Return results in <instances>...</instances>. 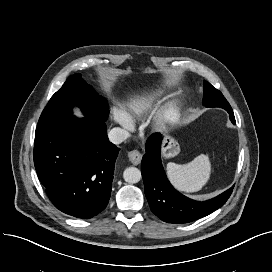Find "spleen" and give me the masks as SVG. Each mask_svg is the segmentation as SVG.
I'll return each instance as SVG.
<instances>
[{"label":"spleen","instance_id":"3e777b00","mask_svg":"<svg viewBox=\"0 0 272 272\" xmlns=\"http://www.w3.org/2000/svg\"><path fill=\"white\" fill-rule=\"evenodd\" d=\"M167 176L175 189L181 192H197L208 182L211 174L209 156L201 154L187 164L170 162Z\"/></svg>","mask_w":272,"mask_h":272}]
</instances>
